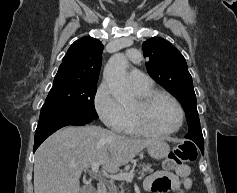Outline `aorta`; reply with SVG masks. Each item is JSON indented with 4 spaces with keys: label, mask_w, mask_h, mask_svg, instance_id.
<instances>
[{
    "label": "aorta",
    "mask_w": 237,
    "mask_h": 193,
    "mask_svg": "<svg viewBox=\"0 0 237 193\" xmlns=\"http://www.w3.org/2000/svg\"><path fill=\"white\" fill-rule=\"evenodd\" d=\"M127 64L126 57L117 53L109 59L103 73L110 92L121 103H128L131 100L126 79Z\"/></svg>",
    "instance_id": "762f6f07"
}]
</instances>
